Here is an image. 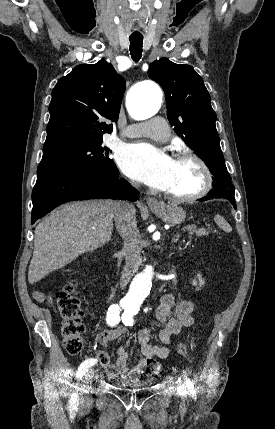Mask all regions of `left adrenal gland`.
Wrapping results in <instances>:
<instances>
[{"label": "left adrenal gland", "mask_w": 275, "mask_h": 429, "mask_svg": "<svg viewBox=\"0 0 275 429\" xmlns=\"http://www.w3.org/2000/svg\"><path fill=\"white\" fill-rule=\"evenodd\" d=\"M178 238H179V235L177 234V236L173 239V243H176L177 242V240H178Z\"/></svg>", "instance_id": "a2214340"}]
</instances>
